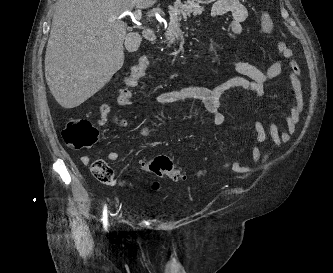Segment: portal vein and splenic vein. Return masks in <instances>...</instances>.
<instances>
[{
  "instance_id": "18ae733b",
  "label": "portal vein and splenic vein",
  "mask_w": 333,
  "mask_h": 273,
  "mask_svg": "<svg viewBox=\"0 0 333 273\" xmlns=\"http://www.w3.org/2000/svg\"><path fill=\"white\" fill-rule=\"evenodd\" d=\"M124 14H127V13H124ZM124 14H123V15H124ZM123 15H121V16L118 17L117 19L122 18ZM133 18H134L135 20H141V18H142V12H141L140 9H137V10L135 11V13H134V17H133Z\"/></svg>"
}]
</instances>
